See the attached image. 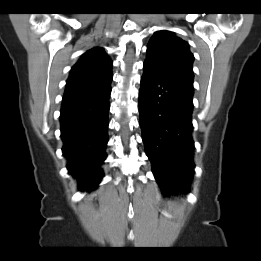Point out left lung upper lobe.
I'll return each mask as SVG.
<instances>
[{
  "label": "left lung upper lobe",
  "mask_w": 261,
  "mask_h": 261,
  "mask_svg": "<svg viewBox=\"0 0 261 261\" xmlns=\"http://www.w3.org/2000/svg\"><path fill=\"white\" fill-rule=\"evenodd\" d=\"M194 56L186 41L170 31H158L150 39L144 63L193 82Z\"/></svg>",
  "instance_id": "left-lung-upper-lobe-1"
}]
</instances>
